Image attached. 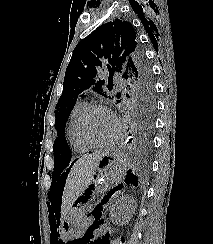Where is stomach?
I'll return each mask as SVG.
<instances>
[{
  "instance_id": "obj_1",
  "label": "stomach",
  "mask_w": 213,
  "mask_h": 244,
  "mask_svg": "<svg viewBox=\"0 0 213 244\" xmlns=\"http://www.w3.org/2000/svg\"><path fill=\"white\" fill-rule=\"evenodd\" d=\"M125 174L124 163L110 150L100 160L97 171L93 175L92 182L71 205L67 215L60 224V232L63 237H71L80 233L84 227L85 210L82 202L90 196H95L102 189L116 187Z\"/></svg>"
}]
</instances>
